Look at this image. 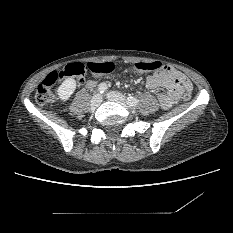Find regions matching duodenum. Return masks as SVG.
<instances>
[{"label":"duodenum","instance_id":"duodenum-1","mask_svg":"<svg viewBox=\"0 0 233 233\" xmlns=\"http://www.w3.org/2000/svg\"><path fill=\"white\" fill-rule=\"evenodd\" d=\"M93 85H94V82H93V81H88V82L86 83V87H87V88H91Z\"/></svg>","mask_w":233,"mask_h":233}]
</instances>
